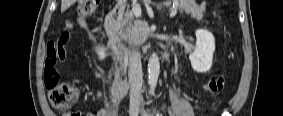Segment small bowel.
<instances>
[{
	"instance_id": "c3829d8e",
	"label": "small bowel",
	"mask_w": 283,
	"mask_h": 116,
	"mask_svg": "<svg viewBox=\"0 0 283 116\" xmlns=\"http://www.w3.org/2000/svg\"><path fill=\"white\" fill-rule=\"evenodd\" d=\"M77 24L83 28L88 35L90 36V38L95 41V36L92 32V30L90 29L88 23L86 22V20H84L83 18H77L76 20ZM66 27L69 30H72L74 28V24L72 21L67 20L66 21ZM65 44H63L62 42L56 44V43H51L48 44L47 46V54H46V58H45V70H44V74L46 76L49 77H54L57 75V71L55 69L56 65L58 63H62L65 60ZM70 115V114H67ZM96 116H106L107 115V111L102 108L99 109L96 113Z\"/></svg>"
}]
</instances>
